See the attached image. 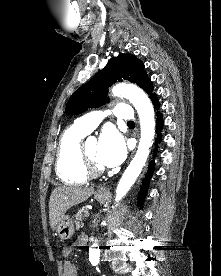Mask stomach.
<instances>
[{
    "label": "stomach",
    "mask_w": 221,
    "mask_h": 276,
    "mask_svg": "<svg viewBox=\"0 0 221 276\" xmlns=\"http://www.w3.org/2000/svg\"><path fill=\"white\" fill-rule=\"evenodd\" d=\"M95 198L97 199L98 202L104 203L108 199V194L97 191L95 192ZM56 231L60 239L62 240L70 239L74 234V225H73L72 219L69 216H64L63 219L58 224Z\"/></svg>",
    "instance_id": "1"
}]
</instances>
